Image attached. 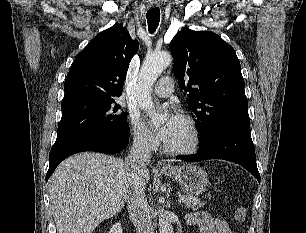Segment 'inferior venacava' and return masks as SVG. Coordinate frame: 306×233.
I'll use <instances>...</instances> for the list:
<instances>
[{
  "instance_id": "1",
  "label": "inferior vena cava",
  "mask_w": 306,
  "mask_h": 233,
  "mask_svg": "<svg viewBox=\"0 0 306 233\" xmlns=\"http://www.w3.org/2000/svg\"><path fill=\"white\" fill-rule=\"evenodd\" d=\"M151 145L148 136H136L127 162L131 167L132 187L127 198V206L137 233H154L149 205L145 197V185L142 181L144 169L151 159Z\"/></svg>"
}]
</instances>
